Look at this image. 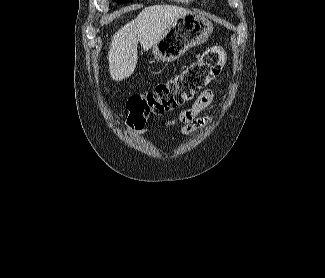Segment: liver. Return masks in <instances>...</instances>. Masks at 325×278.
Instances as JSON below:
<instances>
[{
  "instance_id": "1",
  "label": "liver",
  "mask_w": 325,
  "mask_h": 278,
  "mask_svg": "<svg viewBox=\"0 0 325 278\" xmlns=\"http://www.w3.org/2000/svg\"><path fill=\"white\" fill-rule=\"evenodd\" d=\"M192 13L173 5L146 7L131 22L119 29L112 37L109 52V72L115 81L130 77L137 64V42L144 51L152 48L179 17Z\"/></svg>"
}]
</instances>
